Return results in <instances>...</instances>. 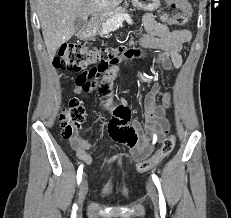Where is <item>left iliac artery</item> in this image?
<instances>
[{
  "mask_svg": "<svg viewBox=\"0 0 231 218\" xmlns=\"http://www.w3.org/2000/svg\"><path fill=\"white\" fill-rule=\"evenodd\" d=\"M156 141H157V135L154 134V136H153V144H155ZM152 179H153L155 185L157 186L158 192H159L160 212L162 214H165L166 213V203H165V199H164V196H163V193H162V190H161V185H160L159 178L155 174H153Z\"/></svg>",
  "mask_w": 231,
  "mask_h": 218,
  "instance_id": "left-iliac-artery-1",
  "label": "left iliac artery"
}]
</instances>
